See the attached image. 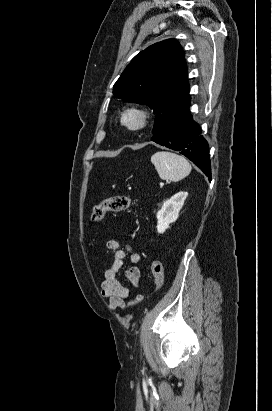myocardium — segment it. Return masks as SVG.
I'll return each mask as SVG.
<instances>
[{
  "label": "myocardium",
  "mask_w": 272,
  "mask_h": 411,
  "mask_svg": "<svg viewBox=\"0 0 272 411\" xmlns=\"http://www.w3.org/2000/svg\"><path fill=\"white\" fill-rule=\"evenodd\" d=\"M150 121L148 110L140 107H131L121 114V124L130 131L145 129Z\"/></svg>",
  "instance_id": "f54148a6"
}]
</instances>
